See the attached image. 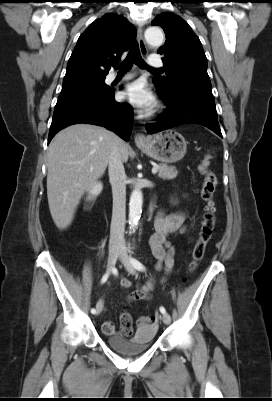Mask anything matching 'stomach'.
Here are the masks:
<instances>
[{"label":"stomach","mask_w":272,"mask_h":401,"mask_svg":"<svg viewBox=\"0 0 272 401\" xmlns=\"http://www.w3.org/2000/svg\"><path fill=\"white\" fill-rule=\"evenodd\" d=\"M138 147L149 157L163 163L181 160L187 150L185 138L175 130H167L151 136Z\"/></svg>","instance_id":"0dacf381"}]
</instances>
